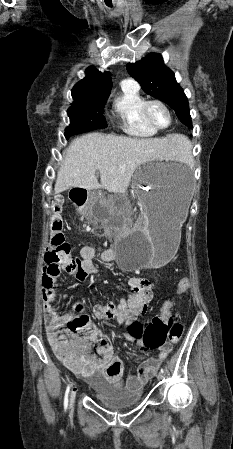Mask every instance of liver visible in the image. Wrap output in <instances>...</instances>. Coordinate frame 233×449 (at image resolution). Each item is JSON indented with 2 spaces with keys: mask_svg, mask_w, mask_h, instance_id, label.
I'll return each instance as SVG.
<instances>
[{
  "mask_svg": "<svg viewBox=\"0 0 233 449\" xmlns=\"http://www.w3.org/2000/svg\"><path fill=\"white\" fill-rule=\"evenodd\" d=\"M179 133H161L160 138H131L89 133L72 140L64 151L55 193L69 188L125 194L135 170L155 160H172L185 148ZM100 173V183L96 172Z\"/></svg>",
  "mask_w": 233,
  "mask_h": 449,
  "instance_id": "obj_1",
  "label": "liver"
}]
</instances>
